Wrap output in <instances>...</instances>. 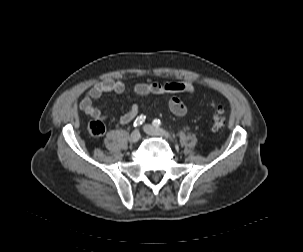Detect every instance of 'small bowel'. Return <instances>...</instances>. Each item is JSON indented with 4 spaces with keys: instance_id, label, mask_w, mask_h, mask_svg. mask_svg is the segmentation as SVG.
I'll list each match as a JSON object with an SVG mask.
<instances>
[{
    "instance_id": "c3829d8e",
    "label": "small bowel",
    "mask_w": 303,
    "mask_h": 252,
    "mask_svg": "<svg viewBox=\"0 0 303 252\" xmlns=\"http://www.w3.org/2000/svg\"><path fill=\"white\" fill-rule=\"evenodd\" d=\"M135 92L138 95L158 94L170 95L168 101L169 110L176 116H185L188 112L187 105L177 96V94L185 93L189 96L194 94L193 84L187 80H177L168 83L142 82L135 86ZM125 91V84L122 80L105 79L96 82L87 90L82 97L79 108L88 116L106 120V116L94 106L93 101L100 98L104 93L122 94ZM140 106L137 103L132 104L128 110L119 117L121 124H128L139 117Z\"/></svg>"
}]
</instances>
